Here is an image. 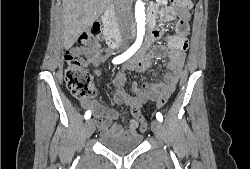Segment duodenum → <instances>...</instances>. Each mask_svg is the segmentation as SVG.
Masks as SVG:
<instances>
[{
    "label": "duodenum",
    "mask_w": 250,
    "mask_h": 169,
    "mask_svg": "<svg viewBox=\"0 0 250 169\" xmlns=\"http://www.w3.org/2000/svg\"><path fill=\"white\" fill-rule=\"evenodd\" d=\"M103 24L105 28V39L107 44L113 48L117 49L120 46L125 44V40L123 39L122 34L115 28L114 21L112 18V14L110 11H106L103 15ZM134 38V33L131 34L128 41H132ZM147 39H150V36L147 37ZM149 41H147L148 43Z\"/></svg>",
    "instance_id": "410a0bca"
}]
</instances>
